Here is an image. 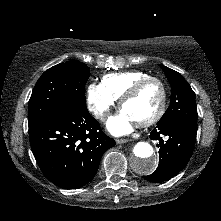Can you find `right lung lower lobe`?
<instances>
[{"mask_svg":"<svg viewBox=\"0 0 221 221\" xmlns=\"http://www.w3.org/2000/svg\"><path fill=\"white\" fill-rule=\"evenodd\" d=\"M32 152L43 174L65 189L80 188L96 175L103 153L115 146L85 105L29 127Z\"/></svg>","mask_w":221,"mask_h":221,"instance_id":"1","label":"right lung lower lobe"}]
</instances>
